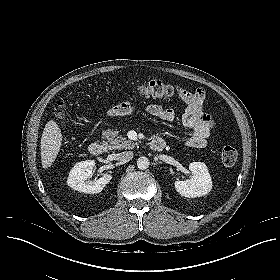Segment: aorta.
Instances as JSON below:
<instances>
[{
  "label": "aorta",
  "instance_id": "obj_1",
  "mask_svg": "<svg viewBox=\"0 0 280 280\" xmlns=\"http://www.w3.org/2000/svg\"><path fill=\"white\" fill-rule=\"evenodd\" d=\"M149 159L145 156H142V157H139L138 160H137V167L140 169V170H145L149 167Z\"/></svg>",
  "mask_w": 280,
  "mask_h": 280
}]
</instances>
